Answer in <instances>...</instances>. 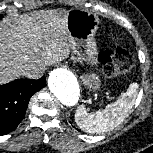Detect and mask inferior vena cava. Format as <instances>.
Wrapping results in <instances>:
<instances>
[{
    "label": "inferior vena cava",
    "mask_w": 153,
    "mask_h": 153,
    "mask_svg": "<svg viewBox=\"0 0 153 153\" xmlns=\"http://www.w3.org/2000/svg\"><path fill=\"white\" fill-rule=\"evenodd\" d=\"M45 72V64L37 63V64H29L22 72L24 76L30 79H39L43 76Z\"/></svg>",
    "instance_id": "602c4592"
}]
</instances>
